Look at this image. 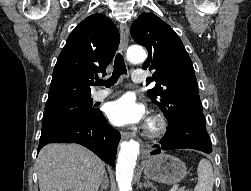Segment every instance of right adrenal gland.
Listing matches in <instances>:
<instances>
[{
    "label": "right adrenal gland",
    "instance_id": "1",
    "mask_svg": "<svg viewBox=\"0 0 251 191\" xmlns=\"http://www.w3.org/2000/svg\"><path fill=\"white\" fill-rule=\"evenodd\" d=\"M108 185H109V177L107 175V171H104V177H102L101 189H99V191H104V189H108Z\"/></svg>",
    "mask_w": 251,
    "mask_h": 191
}]
</instances>
